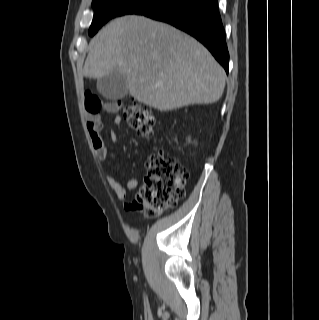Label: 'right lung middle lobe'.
<instances>
[{
  "mask_svg": "<svg viewBox=\"0 0 319 320\" xmlns=\"http://www.w3.org/2000/svg\"><path fill=\"white\" fill-rule=\"evenodd\" d=\"M165 1L167 0H93L94 17L89 28V35L93 36L111 18L125 14H137Z\"/></svg>",
  "mask_w": 319,
  "mask_h": 320,
  "instance_id": "dd1d6c3e",
  "label": "right lung middle lobe"
}]
</instances>
